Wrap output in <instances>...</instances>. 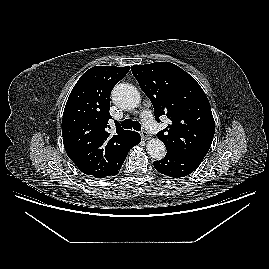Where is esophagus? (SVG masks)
I'll use <instances>...</instances> for the list:
<instances>
[{
	"label": "esophagus",
	"mask_w": 269,
	"mask_h": 269,
	"mask_svg": "<svg viewBox=\"0 0 269 269\" xmlns=\"http://www.w3.org/2000/svg\"><path fill=\"white\" fill-rule=\"evenodd\" d=\"M140 135H141V138H142L143 140H147V139L150 138V136H149V134H148V132H147L146 130H142V131L140 132Z\"/></svg>",
	"instance_id": "esophagus-1"
}]
</instances>
